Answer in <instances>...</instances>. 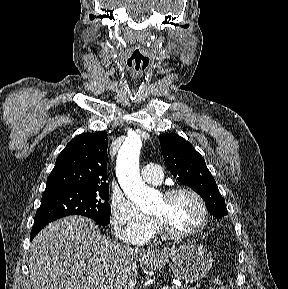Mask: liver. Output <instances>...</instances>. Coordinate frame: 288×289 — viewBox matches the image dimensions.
<instances>
[{"label": "liver", "instance_id": "1", "mask_svg": "<svg viewBox=\"0 0 288 289\" xmlns=\"http://www.w3.org/2000/svg\"><path fill=\"white\" fill-rule=\"evenodd\" d=\"M178 248L124 247L99 234L94 221L67 216L50 223L30 246L32 289H134L139 262L165 266Z\"/></svg>", "mask_w": 288, "mask_h": 289}]
</instances>
